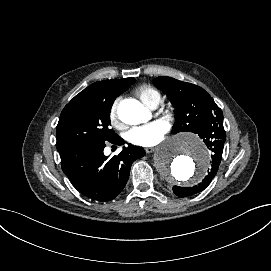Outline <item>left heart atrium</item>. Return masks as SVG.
Here are the masks:
<instances>
[{
  "instance_id": "left-heart-atrium-1",
  "label": "left heart atrium",
  "mask_w": 271,
  "mask_h": 271,
  "mask_svg": "<svg viewBox=\"0 0 271 271\" xmlns=\"http://www.w3.org/2000/svg\"><path fill=\"white\" fill-rule=\"evenodd\" d=\"M168 130V123L159 119L142 127L132 129L129 132L128 139L135 145L150 147L159 144L164 139Z\"/></svg>"
}]
</instances>
